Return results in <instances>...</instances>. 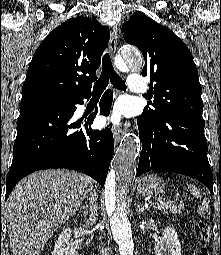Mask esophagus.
<instances>
[{
  "mask_svg": "<svg viewBox=\"0 0 221 255\" xmlns=\"http://www.w3.org/2000/svg\"><path fill=\"white\" fill-rule=\"evenodd\" d=\"M117 38H118V30H117V27L114 26L111 31L110 44H109V51L112 57L114 56L116 52ZM123 134H124V131L121 126H116L113 128V136H114L115 145L119 144Z\"/></svg>",
  "mask_w": 221,
  "mask_h": 255,
  "instance_id": "esophagus-1",
  "label": "esophagus"
}]
</instances>
